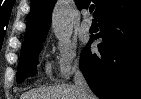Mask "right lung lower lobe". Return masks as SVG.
Here are the masks:
<instances>
[{"instance_id":"98d812e1","label":"right lung lower lobe","mask_w":141,"mask_h":99,"mask_svg":"<svg viewBox=\"0 0 141 99\" xmlns=\"http://www.w3.org/2000/svg\"><path fill=\"white\" fill-rule=\"evenodd\" d=\"M102 38L99 53L89 44L80 68L91 90L100 99H138L141 91V0H111L98 15Z\"/></svg>"}]
</instances>
